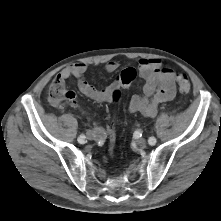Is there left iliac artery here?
I'll return each mask as SVG.
<instances>
[{
	"label": "left iliac artery",
	"mask_w": 221,
	"mask_h": 221,
	"mask_svg": "<svg viewBox=\"0 0 221 221\" xmlns=\"http://www.w3.org/2000/svg\"><path fill=\"white\" fill-rule=\"evenodd\" d=\"M148 143H149L150 145H155V144H156V138H155V137H150V138L148 139Z\"/></svg>",
	"instance_id": "1"
}]
</instances>
